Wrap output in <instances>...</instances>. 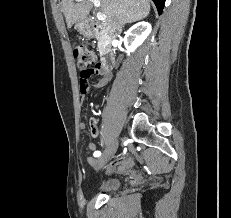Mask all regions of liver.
Here are the masks:
<instances>
[{"instance_id":"liver-1","label":"liver","mask_w":231,"mask_h":218,"mask_svg":"<svg viewBox=\"0 0 231 218\" xmlns=\"http://www.w3.org/2000/svg\"><path fill=\"white\" fill-rule=\"evenodd\" d=\"M62 0L67 27L84 21L93 7L92 0ZM100 13L105 14V25L112 32L121 31L125 24L146 18L150 13L149 0H101Z\"/></svg>"}]
</instances>
